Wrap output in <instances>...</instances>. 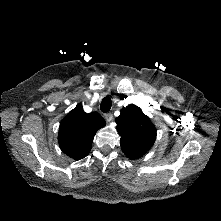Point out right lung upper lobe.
Instances as JSON below:
<instances>
[{
    "mask_svg": "<svg viewBox=\"0 0 221 221\" xmlns=\"http://www.w3.org/2000/svg\"><path fill=\"white\" fill-rule=\"evenodd\" d=\"M105 124L99 113H85L83 106L77 105L60 123V149L74 160L86 157L91 150L94 135Z\"/></svg>",
    "mask_w": 221,
    "mask_h": 221,
    "instance_id": "cb5924a9",
    "label": "right lung upper lobe"
}]
</instances>
